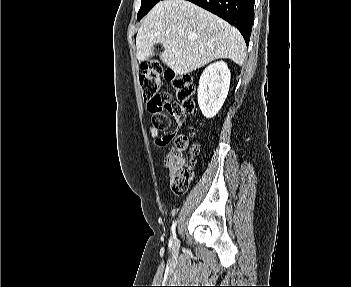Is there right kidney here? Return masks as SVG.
I'll return each mask as SVG.
<instances>
[{"instance_id":"right-kidney-1","label":"right kidney","mask_w":351,"mask_h":287,"mask_svg":"<svg viewBox=\"0 0 351 287\" xmlns=\"http://www.w3.org/2000/svg\"><path fill=\"white\" fill-rule=\"evenodd\" d=\"M230 70L223 61L210 64L203 71L198 87V104L206 118H213L221 109L229 90Z\"/></svg>"}]
</instances>
